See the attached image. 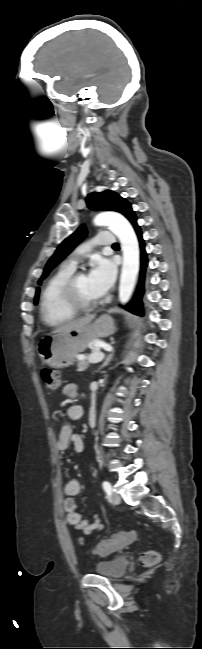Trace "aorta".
I'll return each instance as SVG.
<instances>
[{
	"label": "aorta",
	"mask_w": 202,
	"mask_h": 649,
	"mask_svg": "<svg viewBox=\"0 0 202 649\" xmlns=\"http://www.w3.org/2000/svg\"><path fill=\"white\" fill-rule=\"evenodd\" d=\"M97 226H107L119 239L123 252V265L120 276L119 300L126 304L135 286L139 269V244L129 221L116 212H104L94 219Z\"/></svg>",
	"instance_id": "aorta-1"
}]
</instances>
